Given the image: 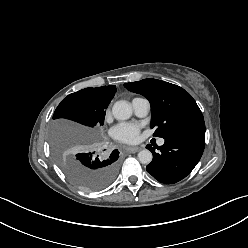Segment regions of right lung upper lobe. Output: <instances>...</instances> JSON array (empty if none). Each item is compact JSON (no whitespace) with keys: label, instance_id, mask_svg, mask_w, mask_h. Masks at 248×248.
Listing matches in <instances>:
<instances>
[{"label":"right lung upper lobe","instance_id":"cb5924a9","mask_svg":"<svg viewBox=\"0 0 248 248\" xmlns=\"http://www.w3.org/2000/svg\"><path fill=\"white\" fill-rule=\"evenodd\" d=\"M88 91L104 97L113 98L116 93V86H102L97 88H86Z\"/></svg>","mask_w":248,"mask_h":248}]
</instances>
